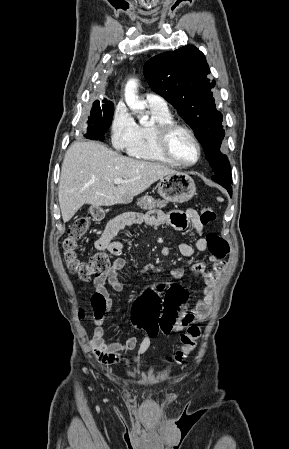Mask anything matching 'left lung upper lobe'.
<instances>
[{
    "label": "left lung upper lobe",
    "mask_w": 289,
    "mask_h": 449,
    "mask_svg": "<svg viewBox=\"0 0 289 449\" xmlns=\"http://www.w3.org/2000/svg\"><path fill=\"white\" fill-rule=\"evenodd\" d=\"M209 73L204 54L193 45L159 54L144 65L152 90L172 104L194 130L215 173L212 180L231 184L230 163L220 151L225 136L223 116L215 108L211 92L215 83L209 82Z\"/></svg>",
    "instance_id": "1"
}]
</instances>
